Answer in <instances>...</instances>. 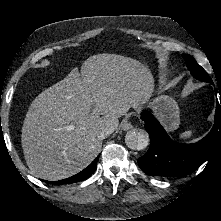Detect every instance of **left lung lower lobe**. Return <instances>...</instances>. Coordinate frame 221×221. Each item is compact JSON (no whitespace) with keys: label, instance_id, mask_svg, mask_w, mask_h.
Listing matches in <instances>:
<instances>
[{"label":"left lung lower lobe","instance_id":"left-lung-lower-lobe-1","mask_svg":"<svg viewBox=\"0 0 221 221\" xmlns=\"http://www.w3.org/2000/svg\"><path fill=\"white\" fill-rule=\"evenodd\" d=\"M220 104L221 100L220 103L217 100L212 130L194 144H181L173 141L150 112H142L141 117L145 122V129L150 136V148L144 156L138 159L140 168L148 175L161 178L184 176L194 172L218 146H221Z\"/></svg>","mask_w":221,"mask_h":221}]
</instances>
